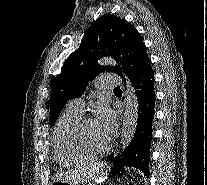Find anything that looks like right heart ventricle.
Wrapping results in <instances>:
<instances>
[{
    "label": "right heart ventricle",
    "mask_w": 207,
    "mask_h": 185,
    "mask_svg": "<svg viewBox=\"0 0 207 185\" xmlns=\"http://www.w3.org/2000/svg\"><path fill=\"white\" fill-rule=\"evenodd\" d=\"M80 117L81 114L66 111L56 123L52 135V145L56 160L60 164L77 165L93 158L81 150L74 139V130Z\"/></svg>",
    "instance_id": "obj_1"
}]
</instances>
